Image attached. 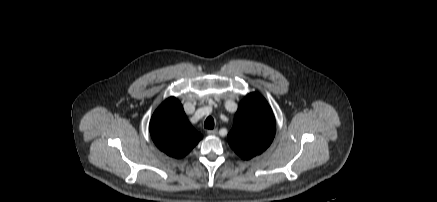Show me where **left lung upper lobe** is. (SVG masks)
<instances>
[{
	"label": "left lung upper lobe",
	"instance_id": "left-lung-upper-lobe-1",
	"mask_svg": "<svg viewBox=\"0 0 437 202\" xmlns=\"http://www.w3.org/2000/svg\"><path fill=\"white\" fill-rule=\"evenodd\" d=\"M276 131L272 109L259 93L248 94L239 104L228 134L231 148L245 160L263 153Z\"/></svg>",
	"mask_w": 437,
	"mask_h": 202
}]
</instances>
